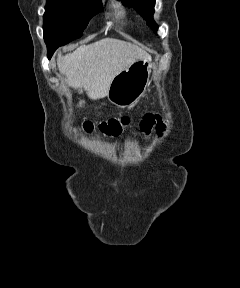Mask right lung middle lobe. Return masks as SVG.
I'll return each mask as SVG.
<instances>
[{
    "label": "right lung middle lobe",
    "instance_id": "1",
    "mask_svg": "<svg viewBox=\"0 0 240 288\" xmlns=\"http://www.w3.org/2000/svg\"><path fill=\"white\" fill-rule=\"evenodd\" d=\"M102 0H47L44 14V40L56 50L81 37L89 20L100 12Z\"/></svg>",
    "mask_w": 240,
    "mask_h": 288
}]
</instances>
